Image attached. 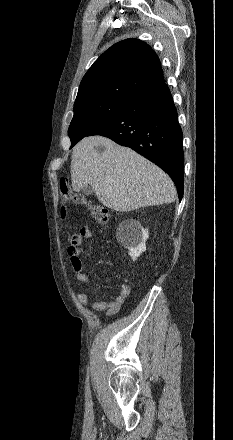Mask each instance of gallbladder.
I'll return each instance as SVG.
<instances>
[{"instance_id": "gallbladder-1", "label": "gallbladder", "mask_w": 233, "mask_h": 440, "mask_svg": "<svg viewBox=\"0 0 233 440\" xmlns=\"http://www.w3.org/2000/svg\"><path fill=\"white\" fill-rule=\"evenodd\" d=\"M83 192L86 194V195H92L93 193H94V190H93V188L91 187V186H85L84 188H83Z\"/></svg>"}]
</instances>
